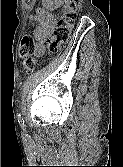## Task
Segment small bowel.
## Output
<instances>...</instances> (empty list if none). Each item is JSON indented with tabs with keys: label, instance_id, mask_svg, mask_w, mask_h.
<instances>
[{
	"label": "small bowel",
	"instance_id": "obj_1",
	"mask_svg": "<svg viewBox=\"0 0 123 167\" xmlns=\"http://www.w3.org/2000/svg\"><path fill=\"white\" fill-rule=\"evenodd\" d=\"M55 3L58 0H47ZM52 8V7H51ZM38 25L33 32L35 38V54L40 56L45 51V42L52 35L54 29L57 26L56 17L47 11H40L34 18Z\"/></svg>",
	"mask_w": 123,
	"mask_h": 167
}]
</instances>
